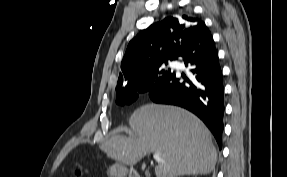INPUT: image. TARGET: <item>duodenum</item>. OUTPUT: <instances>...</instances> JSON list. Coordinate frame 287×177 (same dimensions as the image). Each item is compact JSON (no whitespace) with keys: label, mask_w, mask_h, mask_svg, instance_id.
I'll list each match as a JSON object with an SVG mask.
<instances>
[{"label":"duodenum","mask_w":287,"mask_h":177,"mask_svg":"<svg viewBox=\"0 0 287 177\" xmlns=\"http://www.w3.org/2000/svg\"><path fill=\"white\" fill-rule=\"evenodd\" d=\"M131 177H140V176L136 173H133Z\"/></svg>","instance_id":"410a0bca"}]
</instances>
